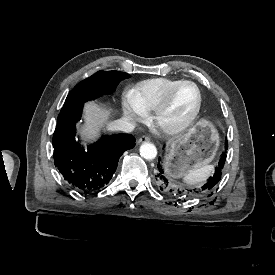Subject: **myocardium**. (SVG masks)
I'll return each instance as SVG.
<instances>
[{
    "label": "myocardium",
    "instance_id": "f54148a6",
    "mask_svg": "<svg viewBox=\"0 0 275 275\" xmlns=\"http://www.w3.org/2000/svg\"><path fill=\"white\" fill-rule=\"evenodd\" d=\"M183 84H191L195 87L196 92H197V102L196 105L194 107V109L191 111V113L178 125L175 126H163L160 123V118L161 116L169 109L171 101L173 99L174 93L176 91V89L183 85ZM201 106H202V93L201 90L199 88V86L191 81V80H180L177 81L176 83H174L169 90L166 92L164 98L162 99L161 103L159 104V106L156 108L155 112H154V124L156 126V128L164 134L167 135H176L179 133L184 132L186 129H188L192 123L195 121V119L197 118L200 110H201Z\"/></svg>",
    "mask_w": 275,
    "mask_h": 275
}]
</instances>
